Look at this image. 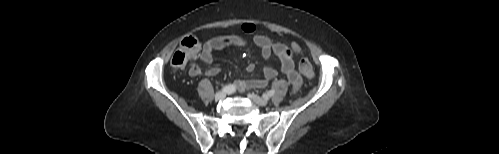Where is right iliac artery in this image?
<instances>
[{"instance_id": "obj_1", "label": "right iliac artery", "mask_w": 499, "mask_h": 154, "mask_svg": "<svg viewBox=\"0 0 499 154\" xmlns=\"http://www.w3.org/2000/svg\"><path fill=\"white\" fill-rule=\"evenodd\" d=\"M223 92H226L228 94H232L236 91V87L232 84L226 85L222 88Z\"/></svg>"}]
</instances>
